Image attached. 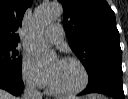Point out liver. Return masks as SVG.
Masks as SVG:
<instances>
[{"label":"liver","mask_w":128,"mask_h":99,"mask_svg":"<svg viewBox=\"0 0 128 99\" xmlns=\"http://www.w3.org/2000/svg\"><path fill=\"white\" fill-rule=\"evenodd\" d=\"M0 99H15V97L8 92L0 89ZM87 99H105V97L101 95H89L87 96Z\"/></svg>","instance_id":"liver-1"}]
</instances>
